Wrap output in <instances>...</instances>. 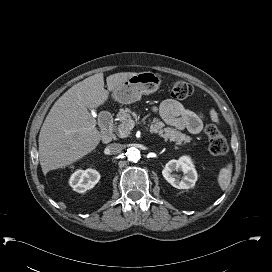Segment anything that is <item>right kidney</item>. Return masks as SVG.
<instances>
[{
  "instance_id": "ca27d5eb",
  "label": "right kidney",
  "mask_w": 272,
  "mask_h": 272,
  "mask_svg": "<svg viewBox=\"0 0 272 272\" xmlns=\"http://www.w3.org/2000/svg\"><path fill=\"white\" fill-rule=\"evenodd\" d=\"M100 180V174L94 169L76 170L70 177L69 184L74 191L84 193L93 188Z\"/></svg>"
}]
</instances>
